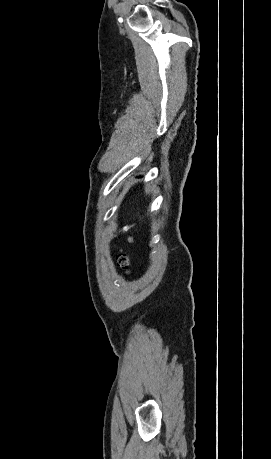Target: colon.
Listing matches in <instances>:
<instances>
[{"label":"colon","instance_id":"5ec220e1","mask_svg":"<svg viewBox=\"0 0 271 459\" xmlns=\"http://www.w3.org/2000/svg\"><path fill=\"white\" fill-rule=\"evenodd\" d=\"M117 264L118 266L122 267L123 269H128L129 266V259L126 254L120 253L117 256Z\"/></svg>","mask_w":271,"mask_h":459}]
</instances>
